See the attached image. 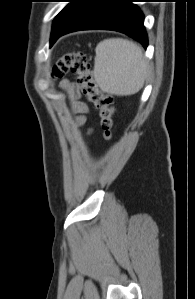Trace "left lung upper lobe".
<instances>
[{
	"label": "left lung upper lobe",
	"mask_w": 195,
	"mask_h": 299,
	"mask_svg": "<svg viewBox=\"0 0 195 299\" xmlns=\"http://www.w3.org/2000/svg\"><path fill=\"white\" fill-rule=\"evenodd\" d=\"M70 3L56 16L53 22L52 34L69 25L80 13L88 0H68Z\"/></svg>",
	"instance_id": "5c2ea615"
}]
</instances>
